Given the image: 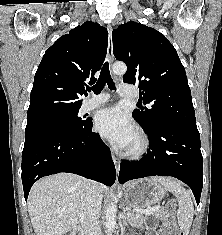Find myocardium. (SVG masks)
Here are the masks:
<instances>
[{
	"label": "myocardium",
	"instance_id": "obj_1",
	"mask_svg": "<svg viewBox=\"0 0 222 235\" xmlns=\"http://www.w3.org/2000/svg\"><path fill=\"white\" fill-rule=\"evenodd\" d=\"M137 142L126 150V155L132 159H139L143 157L150 148V140L147 134L142 129H137L135 132Z\"/></svg>",
	"mask_w": 222,
	"mask_h": 235
}]
</instances>
